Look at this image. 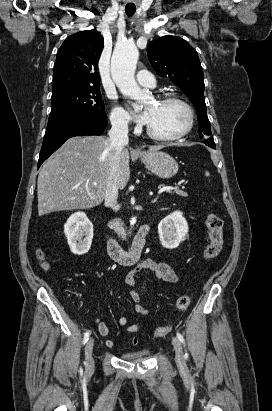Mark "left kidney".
Returning a JSON list of instances; mask_svg holds the SVG:
<instances>
[{"mask_svg": "<svg viewBox=\"0 0 272 411\" xmlns=\"http://www.w3.org/2000/svg\"><path fill=\"white\" fill-rule=\"evenodd\" d=\"M188 224L182 212L174 211L158 224L159 239L163 247L177 248L186 239Z\"/></svg>", "mask_w": 272, "mask_h": 411, "instance_id": "5707ae66", "label": "left kidney"}]
</instances>
